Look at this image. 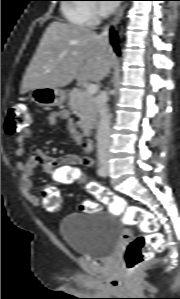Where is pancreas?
I'll return each mask as SVG.
<instances>
[{"instance_id":"obj_1","label":"pancreas","mask_w":180,"mask_h":299,"mask_svg":"<svg viewBox=\"0 0 180 299\" xmlns=\"http://www.w3.org/2000/svg\"><path fill=\"white\" fill-rule=\"evenodd\" d=\"M69 107L76 111L80 118L79 126L83 129L92 127L96 119L95 97L87 94L85 91L73 88L70 92Z\"/></svg>"}]
</instances>
